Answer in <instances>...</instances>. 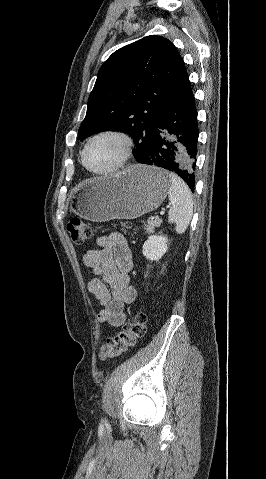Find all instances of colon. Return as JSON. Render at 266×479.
<instances>
[{"mask_svg": "<svg viewBox=\"0 0 266 479\" xmlns=\"http://www.w3.org/2000/svg\"><path fill=\"white\" fill-rule=\"evenodd\" d=\"M125 230H132V225L126 223ZM67 230L76 245H83L93 234V229L79 218H72L67 223ZM146 314L139 310L130 315L122 330L115 336L106 339L100 347L99 356L102 360L122 357L133 348L138 339L145 334Z\"/></svg>", "mask_w": 266, "mask_h": 479, "instance_id": "1", "label": "colon"}]
</instances>
